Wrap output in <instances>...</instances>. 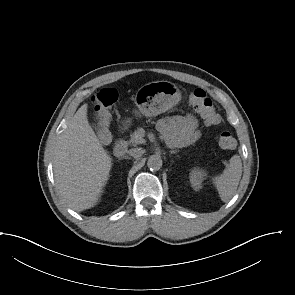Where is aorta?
<instances>
[{
	"instance_id": "aorta-1",
	"label": "aorta",
	"mask_w": 295,
	"mask_h": 295,
	"mask_svg": "<svg viewBox=\"0 0 295 295\" xmlns=\"http://www.w3.org/2000/svg\"><path fill=\"white\" fill-rule=\"evenodd\" d=\"M162 159L158 155H152L147 161V166L150 170L158 171L162 167Z\"/></svg>"
}]
</instances>
